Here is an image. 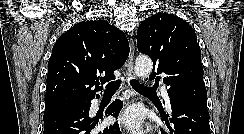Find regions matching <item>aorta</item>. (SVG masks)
<instances>
[{
  "label": "aorta",
  "mask_w": 244,
  "mask_h": 134,
  "mask_svg": "<svg viewBox=\"0 0 244 134\" xmlns=\"http://www.w3.org/2000/svg\"><path fill=\"white\" fill-rule=\"evenodd\" d=\"M153 69L152 60L147 56H139L136 59L134 72L137 77L148 76Z\"/></svg>",
  "instance_id": "1"
}]
</instances>
